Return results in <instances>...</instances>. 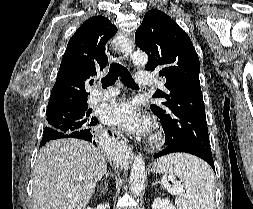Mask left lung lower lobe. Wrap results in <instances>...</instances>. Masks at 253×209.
<instances>
[{
    "mask_svg": "<svg viewBox=\"0 0 253 209\" xmlns=\"http://www.w3.org/2000/svg\"><path fill=\"white\" fill-rule=\"evenodd\" d=\"M174 152H185V153H190L195 156H198L201 159H203L204 161H206L215 171L214 161L212 159V154L210 152H206V151L199 150V149L192 148V147L172 146V145L168 144L165 149H163L160 152L155 153L153 155V157H154V159H157L161 156H164V155H167L170 153H174Z\"/></svg>",
    "mask_w": 253,
    "mask_h": 209,
    "instance_id": "left-lung-lower-lobe-1",
    "label": "left lung lower lobe"
}]
</instances>
